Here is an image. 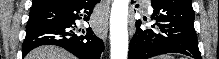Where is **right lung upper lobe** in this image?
I'll list each match as a JSON object with an SVG mask.
<instances>
[{"instance_id":"right-lung-upper-lobe-1","label":"right lung upper lobe","mask_w":219,"mask_h":59,"mask_svg":"<svg viewBox=\"0 0 219 59\" xmlns=\"http://www.w3.org/2000/svg\"><path fill=\"white\" fill-rule=\"evenodd\" d=\"M66 0H33L32 1V8H35L37 6L43 5V4H53L57 2H64Z\"/></svg>"}]
</instances>
